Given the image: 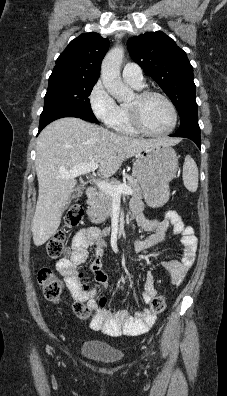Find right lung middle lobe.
<instances>
[{"mask_svg":"<svg viewBox=\"0 0 227 396\" xmlns=\"http://www.w3.org/2000/svg\"><path fill=\"white\" fill-rule=\"evenodd\" d=\"M96 82L97 79L52 73L45 95L43 112L68 108L84 115L88 121L98 123L88 98Z\"/></svg>","mask_w":227,"mask_h":396,"instance_id":"obj_1","label":"right lung middle lobe"}]
</instances>
